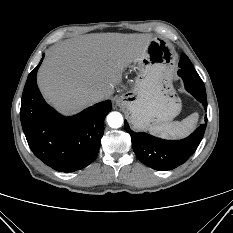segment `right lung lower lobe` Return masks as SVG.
<instances>
[{
	"label": "right lung lower lobe",
	"mask_w": 233,
	"mask_h": 233,
	"mask_svg": "<svg viewBox=\"0 0 233 233\" xmlns=\"http://www.w3.org/2000/svg\"><path fill=\"white\" fill-rule=\"evenodd\" d=\"M41 62L30 72L22 95L20 117L27 142L32 152L56 171L82 169L98 154L111 102L95 104L71 118L59 115L38 89L36 74Z\"/></svg>",
	"instance_id": "1"
}]
</instances>
